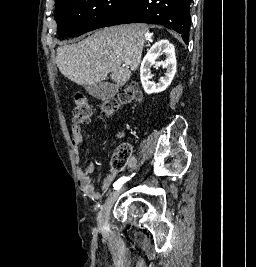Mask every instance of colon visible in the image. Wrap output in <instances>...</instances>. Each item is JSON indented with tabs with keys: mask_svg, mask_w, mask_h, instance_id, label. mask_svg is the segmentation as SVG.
<instances>
[{
	"mask_svg": "<svg viewBox=\"0 0 256 267\" xmlns=\"http://www.w3.org/2000/svg\"><path fill=\"white\" fill-rule=\"evenodd\" d=\"M141 94L135 84L122 89L117 98L103 99L100 102L99 111L101 116L110 117L118 112L122 107L139 102ZM91 102L82 96L75 97L73 105V119L79 125L86 124L91 116ZM131 154V148L128 144H122L117 147L112 157L113 166L120 170L125 167Z\"/></svg>",
	"mask_w": 256,
	"mask_h": 267,
	"instance_id": "obj_1",
	"label": "colon"
}]
</instances>
